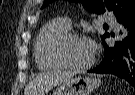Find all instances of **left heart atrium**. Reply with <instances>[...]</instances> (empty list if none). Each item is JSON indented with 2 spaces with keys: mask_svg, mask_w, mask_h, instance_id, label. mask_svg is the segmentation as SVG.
Returning <instances> with one entry per match:
<instances>
[{
  "mask_svg": "<svg viewBox=\"0 0 135 95\" xmlns=\"http://www.w3.org/2000/svg\"><path fill=\"white\" fill-rule=\"evenodd\" d=\"M85 42H86V45L88 47L90 54L93 55L95 51L94 42L91 39H85Z\"/></svg>",
  "mask_w": 135,
  "mask_h": 95,
  "instance_id": "1",
  "label": "left heart atrium"
}]
</instances>
